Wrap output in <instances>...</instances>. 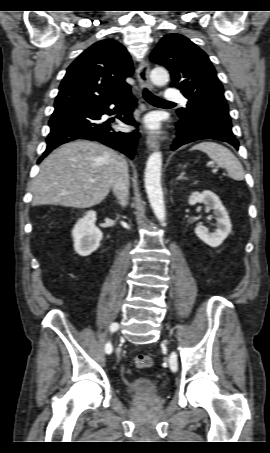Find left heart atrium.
Segmentation results:
<instances>
[{
    "mask_svg": "<svg viewBox=\"0 0 270 453\" xmlns=\"http://www.w3.org/2000/svg\"><path fill=\"white\" fill-rule=\"evenodd\" d=\"M146 125L150 129L157 128V122L154 119H148L147 122H146Z\"/></svg>",
    "mask_w": 270,
    "mask_h": 453,
    "instance_id": "1",
    "label": "left heart atrium"
}]
</instances>
